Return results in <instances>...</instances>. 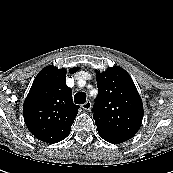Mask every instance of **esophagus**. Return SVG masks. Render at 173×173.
I'll return each instance as SVG.
<instances>
[{"label": "esophagus", "instance_id": "obj_1", "mask_svg": "<svg viewBox=\"0 0 173 173\" xmlns=\"http://www.w3.org/2000/svg\"><path fill=\"white\" fill-rule=\"evenodd\" d=\"M81 107L84 110H90L91 109V102L90 101H86L84 104L81 105Z\"/></svg>", "mask_w": 173, "mask_h": 173}]
</instances>
